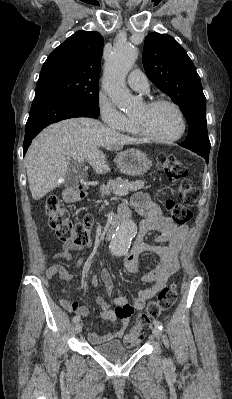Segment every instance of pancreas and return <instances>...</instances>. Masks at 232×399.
Returning <instances> with one entry per match:
<instances>
[{"label": "pancreas", "instance_id": "pancreas-1", "mask_svg": "<svg viewBox=\"0 0 232 399\" xmlns=\"http://www.w3.org/2000/svg\"><path fill=\"white\" fill-rule=\"evenodd\" d=\"M145 182L142 180H136V182H128V180H122V178H117V180H109L106 186H100V194L103 196H109L111 192H122V190H129V192H137V190H142L144 188ZM123 186V188H122Z\"/></svg>", "mask_w": 232, "mask_h": 399}]
</instances>
